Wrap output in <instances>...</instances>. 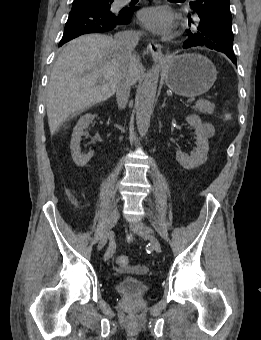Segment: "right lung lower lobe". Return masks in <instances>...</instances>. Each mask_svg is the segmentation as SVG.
<instances>
[{"label": "right lung lower lobe", "mask_w": 261, "mask_h": 340, "mask_svg": "<svg viewBox=\"0 0 261 340\" xmlns=\"http://www.w3.org/2000/svg\"><path fill=\"white\" fill-rule=\"evenodd\" d=\"M113 1L74 0L59 46L82 34L111 31L118 25L129 24L135 9L116 10Z\"/></svg>", "instance_id": "98d812e1"}]
</instances>
